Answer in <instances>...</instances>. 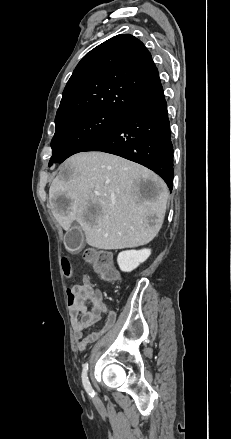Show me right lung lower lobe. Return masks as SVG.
<instances>
[{
  "instance_id": "98d812e1",
  "label": "right lung lower lobe",
  "mask_w": 231,
  "mask_h": 439,
  "mask_svg": "<svg viewBox=\"0 0 231 439\" xmlns=\"http://www.w3.org/2000/svg\"><path fill=\"white\" fill-rule=\"evenodd\" d=\"M84 151H102L137 162L173 186V145L164 93L129 108L106 133Z\"/></svg>"
}]
</instances>
